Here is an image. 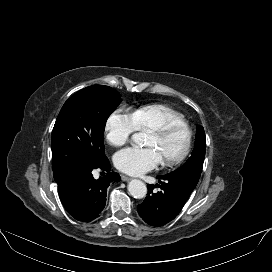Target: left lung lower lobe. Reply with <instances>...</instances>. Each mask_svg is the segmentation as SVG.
<instances>
[{
    "mask_svg": "<svg viewBox=\"0 0 272 272\" xmlns=\"http://www.w3.org/2000/svg\"><path fill=\"white\" fill-rule=\"evenodd\" d=\"M157 178L162 190L154 193V186L147 185V197L137 209L139 215L149 225L163 226L179 214L196 184L167 174Z\"/></svg>",
    "mask_w": 272,
    "mask_h": 272,
    "instance_id": "obj_1",
    "label": "left lung lower lobe"
}]
</instances>
